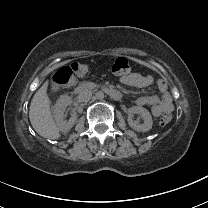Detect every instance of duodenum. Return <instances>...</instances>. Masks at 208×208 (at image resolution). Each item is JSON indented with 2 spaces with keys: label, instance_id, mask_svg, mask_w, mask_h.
Segmentation results:
<instances>
[{
  "label": "duodenum",
  "instance_id": "1",
  "mask_svg": "<svg viewBox=\"0 0 208 208\" xmlns=\"http://www.w3.org/2000/svg\"><path fill=\"white\" fill-rule=\"evenodd\" d=\"M93 87L92 84L90 83H82V84H79L76 88H75V92L76 93H82L86 90H89ZM104 91L113 99L115 100H119L121 98V93L116 90V89H113V88H105Z\"/></svg>",
  "mask_w": 208,
  "mask_h": 208
}]
</instances>
